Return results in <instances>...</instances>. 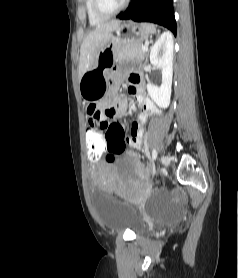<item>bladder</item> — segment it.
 Masks as SVG:
<instances>
[{"label": "bladder", "instance_id": "bladder-1", "mask_svg": "<svg viewBox=\"0 0 238 278\" xmlns=\"http://www.w3.org/2000/svg\"><path fill=\"white\" fill-rule=\"evenodd\" d=\"M116 198L98 193L94 196V206L102 226L108 231L131 230L135 234H142L147 224L140 217L133 205L116 204Z\"/></svg>", "mask_w": 238, "mask_h": 278}]
</instances>
